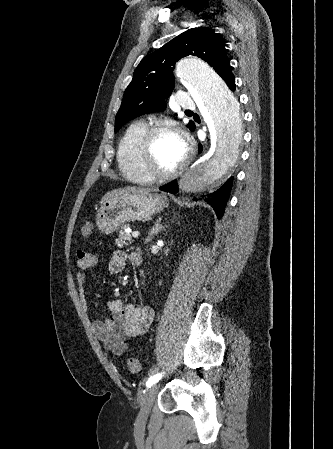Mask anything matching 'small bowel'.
Returning a JSON list of instances; mask_svg holds the SVG:
<instances>
[{
	"instance_id": "c3829d8e",
	"label": "small bowel",
	"mask_w": 333,
	"mask_h": 449,
	"mask_svg": "<svg viewBox=\"0 0 333 449\" xmlns=\"http://www.w3.org/2000/svg\"><path fill=\"white\" fill-rule=\"evenodd\" d=\"M135 253L117 250L112 254L108 270L112 274L123 272L127 263L135 264ZM97 265V258L86 251L77 253L76 283L79 300L88 309L85 284L87 270ZM109 316H103L93 321V329L107 349L116 355L122 354L130 342L143 335L149 328L154 310L149 306H139L126 303L123 300H112L108 304Z\"/></svg>"
}]
</instances>
